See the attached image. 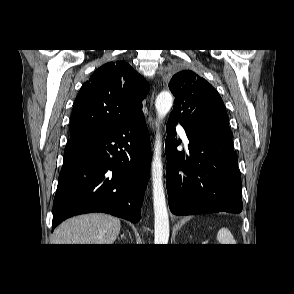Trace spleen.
<instances>
[{
	"mask_svg": "<svg viewBox=\"0 0 294 294\" xmlns=\"http://www.w3.org/2000/svg\"><path fill=\"white\" fill-rule=\"evenodd\" d=\"M217 240L220 244H234L235 240L227 228H222L217 233Z\"/></svg>",
	"mask_w": 294,
	"mask_h": 294,
	"instance_id": "obj_1",
	"label": "spleen"
}]
</instances>
